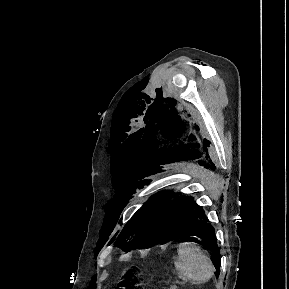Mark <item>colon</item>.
<instances>
[{
    "label": "colon",
    "mask_w": 289,
    "mask_h": 289,
    "mask_svg": "<svg viewBox=\"0 0 289 289\" xmlns=\"http://www.w3.org/2000/svg\"><path fill=\"white\" fill-rule=\"evenodd\" d=\"M142 284L135 274L130 275L129 277L122 279L117 285L116 289H131L132 287L140 288Z\"/></svg>",
    "instance_id": "colon-1"
}]
</instances>
